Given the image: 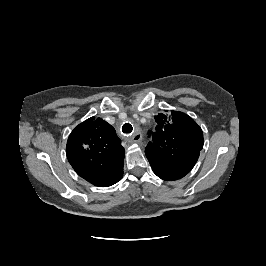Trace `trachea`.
Here are the masks:
<instances>
[{
	"label": "trachea",
	"mask_w": 266,
	"mask_h": 266,
	"mask_svg": "<svg viewBox=\"0 0 266 266\" xmlns=\"http://www.w3.org/2000/svg\"><path fill=\"white\" fill-rule=\"evenodd\" d=\"M133 130V127L130 123H125L123 126H122V132L123 133H126V134H129L131 133Z\"/></svg>",
	"instance_id": "3493384b"
}]
</instances>
